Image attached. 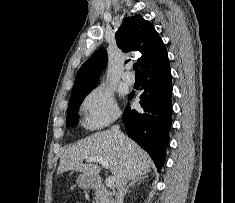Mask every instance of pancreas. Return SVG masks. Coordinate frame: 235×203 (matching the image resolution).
<instances>
[{
    "label": "pancreas",
    "mask_w": 235,
    "mask_h": 203,
    "mask_svg": "<svg viewBox=\"0 0 235 203\" xmlns=\"http://www.w3.org/2000/svg\"><path fill=\"white\" fill-rule=\"evenodd\" d=\"M95 200L96 203H113L111 194L107 191V189L104 186L96 187Z\"/></svg>",
    "instance_id": "1"
}]
</instances>
